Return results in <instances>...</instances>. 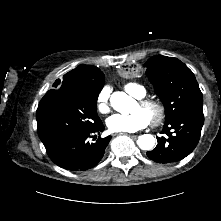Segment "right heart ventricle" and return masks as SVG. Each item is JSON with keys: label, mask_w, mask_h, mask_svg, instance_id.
Listing matches in <instances>:
<instances>
[{"label": "right heart ventricle", "mask_w": 221, "mask_h": 221, "mask_svg": "<svg viewBox=\"0 0 221 221\" xmlns=\"http://www.w3.org/2000/svg\"><path fill=\"white\" fill-rule=\"evenodd\" d=\"M125 89L126 91L131 94L132 96L136 97V98H144L146 96V91L145 89L136 84V83H127L125 85Z\"/></svg>", "instance_id": "right-heart-ventricle-1"}]
</instances>
